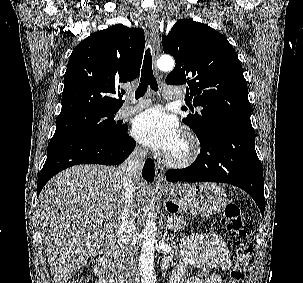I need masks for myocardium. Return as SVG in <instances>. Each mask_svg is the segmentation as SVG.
<instances>
[{"mask_svg": "<svg viewBox=\"0 0 303 283\" xmlns=\"http://www.w3.org/2000/svg\"><path fill=\"white\" fill-rule=\"evenodd\" d=\"M182 149L178 153H169L165 161L168 165L183 168L191 165L198 157L200 144L193 133H186L182 139Z\"/></svg>", "mask_w": 303, "mask_h": 283, "instance_id": "f54148a6", "label": "myocardium"}]
</instances>
